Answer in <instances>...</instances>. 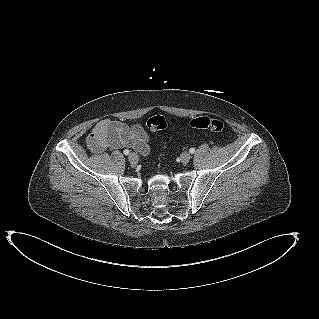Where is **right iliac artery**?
<instances>
[{"label":"right iliac artery","mask_w":319,"mask_h":319,"mask_svg":"<svg viewBox=\"0 0 319 319\" xmlns=\"http://www.w3.org/2000/svg\"><path fill=\"white\" fill-rule=\"evenodd\" d=\"M123 153H124L125 155H128V154H129V150H128V149H125V150L123 151Z\"/></svg>","instance_id":"1"}]
</instances>
